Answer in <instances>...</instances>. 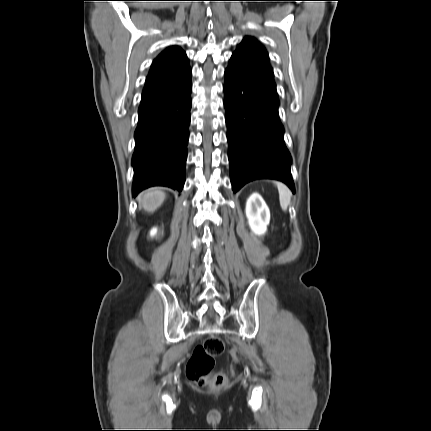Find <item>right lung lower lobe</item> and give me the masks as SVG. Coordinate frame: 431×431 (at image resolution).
Segmentation results:
<instances>
[{
  "label": "right lung lower lobe",
  "mask_w": 431,
  "mask_h": 431,
  "mask_svg": "<svg viewBox=\"0 0 431 431\" xmlns=\"http://www.w3.org/2000/svg\"><path fill=\"white\" fill-rule=\"evenodd\" d=\"M191 91L190 75L167 92L141 101L132 157L133 196L151 186L183 189Z\"/></svg>",
  "instance_id": "right-lung-lower-lobe-1"
}]
</instances>
